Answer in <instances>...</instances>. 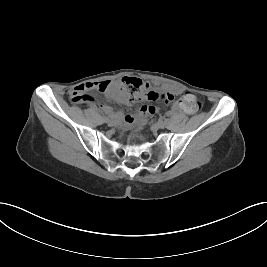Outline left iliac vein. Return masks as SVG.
Segmentation results:
<instances>
[{"mask_svg": "<svg viewBox=\"0 0 267 267\" xmlns=\"http://www.w3.org/2000/svg\"><path fill=\"white\" fill-rule=\"evenodd\" d=\"M156 126H157L158 128H160V129H164L165 126H166V124H165L163 121H158V122L156 123Z\"/></svg>", "mask_w": 267, "mask_h": 267, "instance_id": "left-iliac-vein-1", "label": "left iliac vein"}]
</instances>
